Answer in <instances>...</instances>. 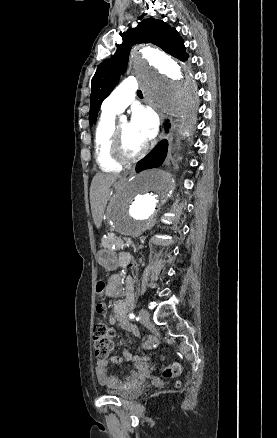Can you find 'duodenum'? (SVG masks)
<instances>
[{
    "label": "duodenum",
    "instance_id": "duodenum-1",
    "mask_svg": "<svg viewBox=\"0 0 277 438\" xmlns=\"http://www.w3.org/2000/svg\"><path fill=\"white\" fill-rule=\"evenodd\" d=\"M131 260V255L129 253H121L118 257V263L121 266L127 265Z\"/></svg>",
    "mask_w": 277,
    "mask_h": 438
}]
</instances>
